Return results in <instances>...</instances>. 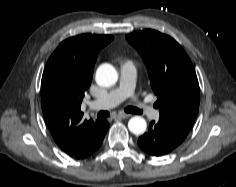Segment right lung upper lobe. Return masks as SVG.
I'll return each instance as SVG.
<instances>
[{
    "instance_id": "obj_1",
    "label": "right lung upper lobe",
    "mask_w": 236,
    "mask_h": 187,
    "mask_svg": "<svg viewBox=\"0 0 236 187\" xmlns=\"http://www.w3.org/2000/svg\"><path fill=\"white\" fill-rule=\"evenodd\" d=\"M112 40L111 35L91 34L68 38L44 68L41 105L47 125L57 145L77 159L91 155L102 134L103 120L83 121L80 108L97 54Z\"/></svg>"
}]
</instances>
